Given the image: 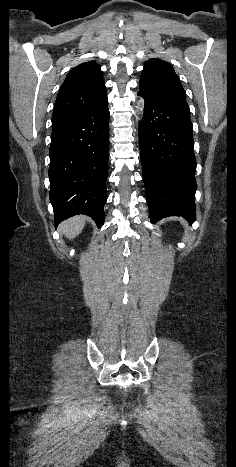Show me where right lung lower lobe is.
<instances>
[{
    "label": "right lung lower lobe",
    "instance_id": "right-lung-lower-lobe-1",
    "mask_svg": "<svg viewBox=\"0 0 236 467\" xmlns=\"http://www.w3.org/2000/svg\"><path fill=\"white\" fill-rule=\"evenodd\" d=\"M107 98L90 110L52 125L49 149L50 201L55 226L86 214L104 223L109 159Z\"/></svg>",
    "mask_w": 236,
    "mask_h": 467
}]
</instances>
